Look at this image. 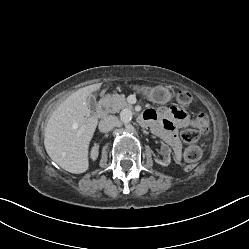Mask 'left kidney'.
Listing matches in <instances>:
<instances>
[{
	"label": "left kidney",
	"mask_w": 249,
	"mask_h": 249,
	"mask_svg": "<svg viewBox=\"0 0 249 249\" xmlns=\"http://www.w3.org/2000/svg\"><path fill=\"white\" fill-rule=\"evenodd\" d=\"M159 151L152 154V162L158 163L162 166H168L170 164L171 149L167 145H160Z\"/></svg>",
	"instance_id": "obj_1"
}]
</instances>
